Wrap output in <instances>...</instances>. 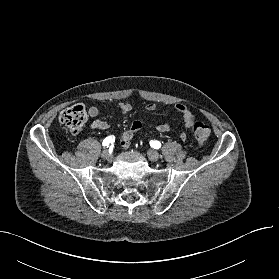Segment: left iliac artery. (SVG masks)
Returning <instances> with one entry per match:
<instances>
[{
    "instance_id": "left-iliac-artery-1",
    "label": "left iliac artery",
    "mask_w": 279,
    "mask_h": 279,
    "mask_svg": "<svg viewBox=\"0 0 279 279\" xmlns=\"http://www.w3.org/2000/svg\"><path fill=\"white\" fill-rule=\"evenodd\" d=\"M150 145H151V147H153L154 149H159L160 147H161V143L159 142V141H156V140H152L151 142H150Z\"/></svg>"
}]
</instances>
